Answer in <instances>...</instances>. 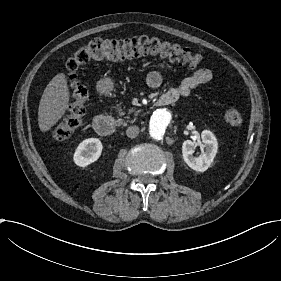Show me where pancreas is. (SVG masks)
<instances>
[{"label":"pancreas","mask_w":281,"mask_h":281,"mask_svg":"<svg viewBox=\"0 0 281 281\" xmlns=\"http://www.w3.org/2000/svg\"><path fill=\"white\" fill-rule=\"evenodd\" d=\"M119 111H120V115H124V112H122L121 109H120ZM129 112H130V113L135 112V109H134V108H131V109L129 110ZM136 113H137V111H136Z\"/></svg>","instance_id":"1"}]
</instances>
